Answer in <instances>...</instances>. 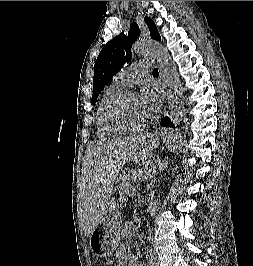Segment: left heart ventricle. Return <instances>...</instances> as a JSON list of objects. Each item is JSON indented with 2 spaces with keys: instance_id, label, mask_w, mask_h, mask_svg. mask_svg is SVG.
Instances as JSON below:
<instances>
[{
  "instance_id": "1",
  "label": "left heart ventricle",
  "mask_w": 253,
  "mask_h": 266,
  "mask_svg": "<svg viewBox=\"0 0 253 266\" xmlns=\"http://www.w3.org/2000/svg\"><path fill=\"white\" fill-rule=\"evenodd\" d=\"M120 115L129 124H139L146 119L138 94L130 95L123 102Z\"/></svg>"
}]
</instances>
